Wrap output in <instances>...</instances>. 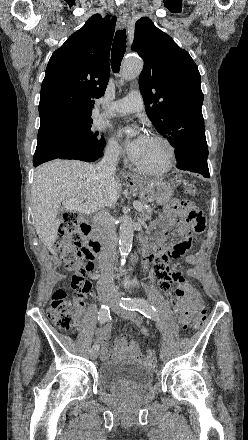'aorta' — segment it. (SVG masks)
Listing matches in <instances>:
<instances>
[{
	"mask_svg": "<svg viewBox=\"0 0 248 440\" xmlns=\"http://www.w3.org/2000/svg\"><path fill=\"white\" fill-rule=\"evenodd\" d=\"M143 69V61L138 57L126 58L121 66V75L125 80L138 77ZM133 220L128 214L120 218L119 251L121 262L124 264L126 257L131 251L133 243Z\"/></svg>",
	"mask_w": 248,
	"mask_h": 440,
	"instance_id": "762f6f07",
	"label": "aorta"
}]
</instances>
